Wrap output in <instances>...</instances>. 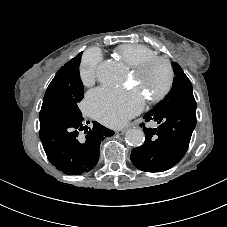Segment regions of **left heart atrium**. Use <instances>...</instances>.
<instances>
[{
	"label": "left heart atrium",
	"mask_w": 227,
	"mask_h": 227,
	"mask_svg": "<svg viewBox=\"0 0 227 227\" xmlns=\"http://www.w3.org/2000/svg\"><path fill=\"white\" fill-rule=\"evenodd\" d=\"M144 103V97L134 91L98 88L88 94L85 107L100 122L119 127L138 114Z\"/></svg>",
	"instance_id": "39dd6f15"
}]
</instances>
